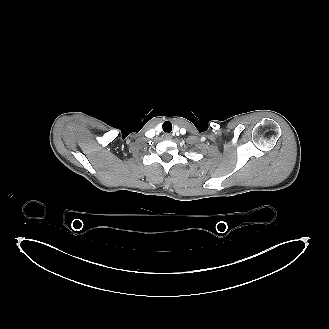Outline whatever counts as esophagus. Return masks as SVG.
Listing matches in <instances>:
<instances>
[{
    "label": "esophagus",
    "instance_id": "34e87169",
    "mask_svg": "<svg viewBox=\"0 0 329 329\" xmlns=\"http://www.w3.org/2000/svg\"><path fill=\"white\" fill-rule=\"evenodd\" d=\"M164 138H165L166 140H171V139H172V136H171V134L166 133V134L164 135Z\"/></svg>",
    "mask_w": 329,
    "mask_h": 329
}]
</instances>
